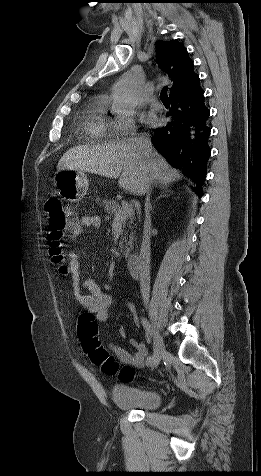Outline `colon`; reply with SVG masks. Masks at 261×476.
Listing matches in <instances>:
<instances>
[{
  "label": "colon",
  "mask_w": 261,
  "mask_h": 476,
  "mask_svg": "<svg viewBox=\"0 0 261 476\" xmlns=\"http://www.w3.org/2000/svg\"><path fill=\"white\" fill-rule=\"evenodd\" d=\"M45 213L47 218L49 255L54 263L62 264L65 260V239L76 227V218L73 212L67 209L59 198L47 200L45 203ZM61 269L63 272L67 270L65 266ZM97 333L98 326L94 314L89 311H83L79 316L78 335L83 349L88 354L91 362L101 367L102 371L108 375L118 374L120 380L125 382L131 381L134 378V369L130 366L119 368L107 350L102 347Z\"/></svg>",
  "instance_id": "5ec220e1"
}]
</instances>
